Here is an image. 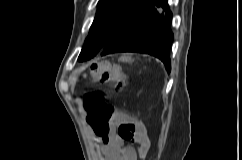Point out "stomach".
<instances>
[{"label": "stomach", "mask_w": 242, "mask_h": 160, "mask_svg": "<svg viewBox=\"0 0 242 160\" xmlns=\"http://www.w3.org/2000/svg\"><path fill=\"white\" fill-rule=\"evenodd\" d=\"M122 61H128V62H131V58L130 57H122Z\"/></svg>", "instance_id": "0dacf381"}]
</instances>
